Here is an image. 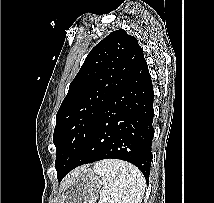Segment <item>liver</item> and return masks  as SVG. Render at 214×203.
<instances>
[{
  "instance_id": "obj_1",
  "label": "liver",
  "mask_w": 214,
  "mask_h": 203,
  "mask_svg": "<svg viewBox=\"0 0 214 203\" xmlns=\"http://www.w3.org/2000/svg\"><path fill=\"white\" fill-rule=\"evenodd\" d=\"M81 169H83V168H81ZM79 172H80V170H75V171L71 172L69 175H67L66 178H65V180H64V182H63V184H62L63 188L67 184H69L70 182H72L73 179H74V177H76L79 174Z\"/></svg>"
}]
</instances>
